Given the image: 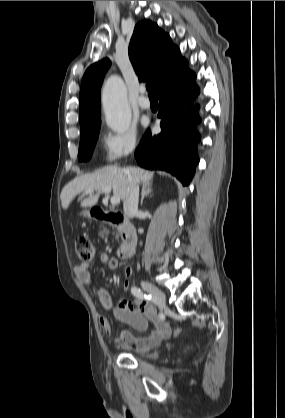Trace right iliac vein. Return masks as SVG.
I'll use <instances>...</instances> for the list:
<instances>
[{
    "instance_id": "obj_1",
    "label": "right iliac vein",
    "mask_w": 285,
    "mask_h": 418,
    "mask_svg": "<svg viewBox=\"0 0 285 418\" xmlns=\"http://www.w3.org/2000/svg\"><path fill=\"white\" fill-rule=\"evenodd\" d=\"M141 286L145 291L149 292L156 299L161 309L165 308L166 297L158 287L147 281H141Z\"/></svg>"
}]
</instances>
